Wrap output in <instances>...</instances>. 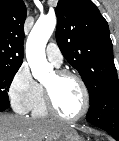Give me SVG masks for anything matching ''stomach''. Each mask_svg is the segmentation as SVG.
<instances>
[{"instance_id":"0dacf381","label":"stomach","mask_w":119,"mask_h":141,"mask_svg":"<svg viewBox=\"0 0 119 141\" xmlns=\"http://www.w3.org/2000/svg\"><path fill=\"white\" fill-rule=\"evenodd\" d=\"M46 141H82L77 131L70 126H63L61 129L50 133Z\"/></svg>"}]
</instances>
